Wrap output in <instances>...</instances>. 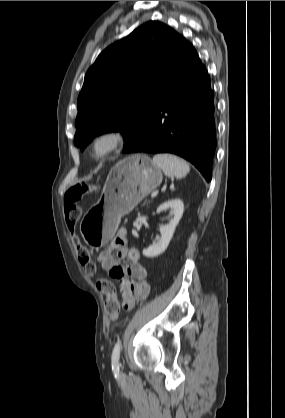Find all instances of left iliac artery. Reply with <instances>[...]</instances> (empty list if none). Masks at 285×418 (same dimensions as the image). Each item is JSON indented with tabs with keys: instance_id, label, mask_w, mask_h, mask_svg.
Returning <instances> with one entry per match:
<instances>
[{
	"instance_id": "1",
	"label": "left iliac artery",
	"mask_w": 285,
	"mask_h": 418,
	"mask_svg": "<svg viewBox=\"0 0 285 418\" xmlns=\"http://www.w3.org/2000/svg\"><path fill=\"white\" fill-rule=\"evenodd\" d=\"M120 352H121V343L118 341L112 352V371L115 376H119L120 373Z\"/></svg>"
}]
</instances>
